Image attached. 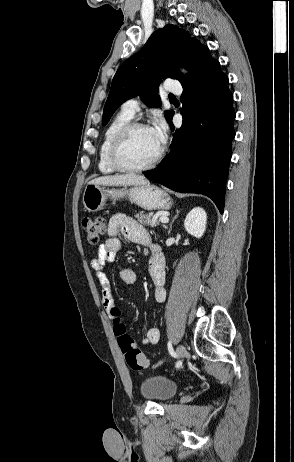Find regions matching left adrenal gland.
I'll return each mask as SVG.
<instances>
[{"label": "left adrenal gland", "mask_w": 294, "mask_h": 462, "mask_svg": "<svg viewBox=\"0 0 294 462\" xmlns=\"http://www.w3.org/2000/svg\"><path fill=\"white\" fill-rule=\"evenodd\" d=\"M179 212H180L179 210H176V215L174 216V218L172 219V221H171V223H170V225H169L168 234H170V232H171V230H172V224H173V222L175 221V219L178 217Z\"/></svg>", "instance_id": "1"}]
</instances>
